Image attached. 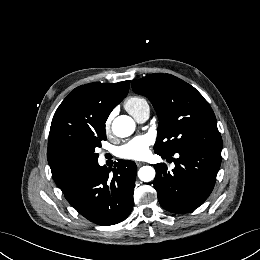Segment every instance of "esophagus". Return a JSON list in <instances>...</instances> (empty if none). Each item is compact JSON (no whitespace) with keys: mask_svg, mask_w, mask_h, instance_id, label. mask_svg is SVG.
I'll use <instances>...</instances> for the list:
<instances>
[{"mask_svg":"<svg viewBox=\"0 0 260 260\" xmlns=\"http://www.w3.org/2000/svg\"><path fill=\"white\" fill-rule=\"evenodd\" d=\"M144 164H145L144 162H136L137 167H140V166H142Z\"/></svg>","mask_w":260,"mask_h":260,"instance_id":"34e87169","label":"esophagus"}]
</instances>
